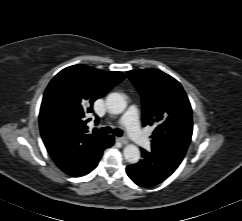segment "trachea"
I'll return each instance as SVG.
<instances>
[{"instance_id":"3493384b","label":"trachea","mask_w":242,"mask_h":221,"mask_svg":"<svg viewBox=\"0 0 242 221\" xmlns=\"http://www.w3.org/2000/svg\"><path fill=\"white\" fill-rule=\"evenodd\" d=\"M101 133H113L118 137L122 136V131L120 129H111L110 127H103L99 130Z\"/></svg>"}]
</instances>
